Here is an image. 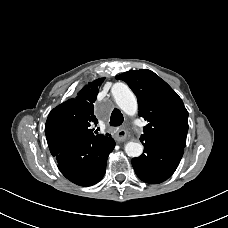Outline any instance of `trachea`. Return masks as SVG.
Returning a JSON list of instances; mask_svg holds the SVG:
<instances>
[{"label":"trachea","mask_w":228,"mask_h":228,"mask_svg":"<svg viewBox=\"0 0 228 228\" xmlns=\"http://www.w3.org/2000/svg\"><path fill=\"white\" fill-rule=\"evenodd\" d=\"M124 121L123 114L121 111L117 108H115L112 111L111 117H110V125L111 126H120Z\"/></svg>","instance_id":"trachea-1"}]
</instances>
